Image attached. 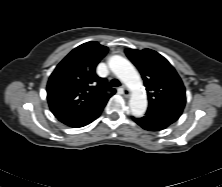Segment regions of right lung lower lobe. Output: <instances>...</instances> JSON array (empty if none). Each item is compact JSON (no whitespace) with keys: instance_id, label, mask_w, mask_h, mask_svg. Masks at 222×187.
I'll return each mask as SVG.
<instances>
[{"instance_id":"98d812e1","label":"right lung lower lobe","mask_w":222,"mask_h":187,"mask_svg":"<svg viewBox=\"0 0 222 187\" xmlns=\"http://www.w3.org/2000/svg\"><path fill=\"white\" fill-rule=\"evenodd\" d=\"M103 108L94 112L85 114H54L55 117L62 123L73 127L79 128L83 127L92 121H94L101 114Z\"/></svg>"}]
</instances>
